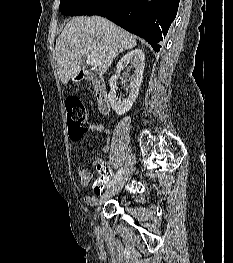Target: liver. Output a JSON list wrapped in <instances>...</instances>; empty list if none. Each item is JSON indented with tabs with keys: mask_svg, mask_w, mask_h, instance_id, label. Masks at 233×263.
<instances>
[{
	"mask_svg": "<svg viewBox=\"0 0 233 263\" xmlns=\"http://www.w3.org/2000/svg\"><path fill=\"white\" fill-rule=\"evenodd\" d=\"M136 45L133 35L103 17L73 18L56 40L55 59L59 78L67 84L80 72L82 59L88 55L101 62L98 65V76L101 78L120 53Z\"/></svg>",
	"mask_w": 233,
	"mask_h": 263,
	"instance_id": "6515ba94",
	"label": "liver"
}]
</instances>
